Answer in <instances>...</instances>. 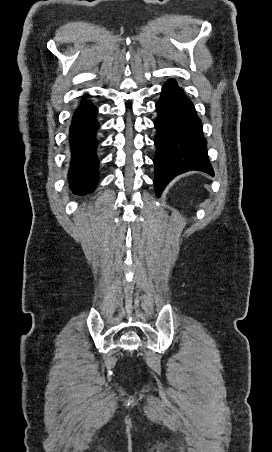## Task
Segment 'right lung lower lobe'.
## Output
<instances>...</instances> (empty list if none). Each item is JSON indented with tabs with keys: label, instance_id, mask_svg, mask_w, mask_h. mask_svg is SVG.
I'll return each mask as SVG.
<instances>
[{
	"label": "right lung lower lobe",
	"instance_id": "98d812e1",
	"mask_svg": "<svg viewBox=\"0 0 272 452\" xmlns=\"http://www.w3.org/2000/svg\"><path fill=\"white\" fill-rule=\"evenodd\" d=\"M97 112L90 101H82L72 117L69 131L71 151L69 182L74 194L89 193L97 183L99 166L96 155L98 145L96 132L99 129Z\"/></svg>",
	"mask_w": 272,
	"mask_h": 452
}]
</instances>
